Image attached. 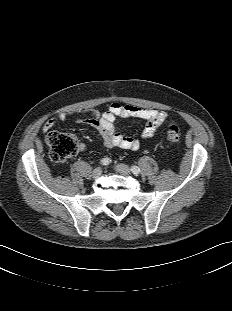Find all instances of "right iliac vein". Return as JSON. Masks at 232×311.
Masks as SVG:
<instances>
[{"label": "right iliac vein", "instance_id": "63e3f726", "mask_svg": "<svg viewBox=\"0 0 232 311\" xmlns=\"http://www.w3.org/2000/svg\"><path fill=\"white\" fill-rule=\"evenodd\" d=\"M101 174H102V169L100 167H98V168L94 169L92 177L94 179H98L101 176Z\"/></svg>", "mask_w": 232, "mask_h": 311}]
</instances>
